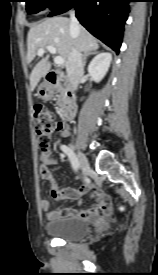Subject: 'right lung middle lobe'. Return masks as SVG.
<instances>
[{"mask_svg":"<svg viewBox=\"0 0 158 275\" xmlns=\"http://www.w3.org/2000/svg\"><path fill=\"white\" fill-rule=\"evenodd\" d=\"M63 1L64 0H26V10L29 14L38 13L39 11L44 10L46 7L53 9Z\"/></svg>","mask_w":158,"mask_h":275,"instance_id":"obj_1","label":"right lung middle lobe"}]
</instances>
